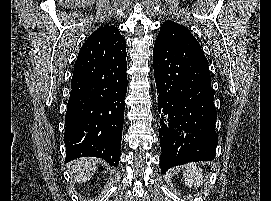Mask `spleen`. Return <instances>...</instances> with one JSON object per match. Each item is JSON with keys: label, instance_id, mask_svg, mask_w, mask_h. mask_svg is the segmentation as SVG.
I'll return each mask as SVG.
<instances>
[{"label": "spleen", "instance_id": "1", "mask_svg": "<svg viewBox=\"0 0 271 201\" xmlns=\"http://www.w3.org/2000/svg\"><path fill=\"white\" fill-rule=\"evenodd\" d=\"M185 184L192 188H199L203 184L202 169L197 167L196 163H189L185 166L183 173Z\"/></svg>", "mask_w": 271, "mask_h": 201}]
</instances>
